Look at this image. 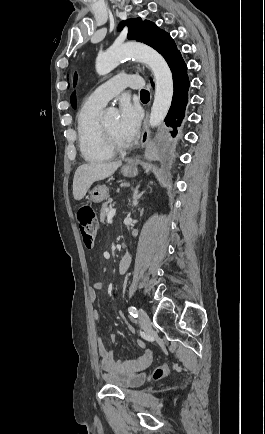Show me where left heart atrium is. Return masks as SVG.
Masks as SVG:
<instances>
[{"instance_id":"obj_1","label":"left heart atrium","mask_w":265,"mask_h":434,"mask_svg":"<svg viewBox=\"0 0 265 434\" xmlns=\"http://www.w3.org/2000/svg\"><path fill=\"white\" fill-rule=\"evenodd\" d=\"M120 101L118 132L122 140L130 143L138 134L141 110L137 105L131 104L126 97L121 98Z\"/></svg>"}]
</instances>
